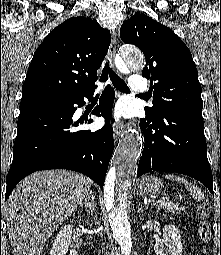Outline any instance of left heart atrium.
<instances>
[{
  "mask_svg": "<svg viewBox=\"0 0 221 255\" xmlns=\"http://www.w3.org/2000/svg\"><path fill=\"white\" fill-rule=\"evenodd\" d=\"M119 112H120V111H119V110H117V114H119Z\"/></svg>",
  "mask_w": 221,
  "mask_h": 255,
  "instance_id": "39dd6f15",
  "label": "left heart atrium"
}]
</instances>
